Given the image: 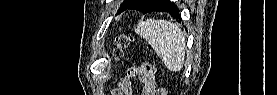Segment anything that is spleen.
Listing matches in <instances>:
<instances>
[{
	"mask_svg": "<svg viewBox=\"0 0 277 95\" xmlns=\"http://www.w3.org/2000/svg\"><path fill=\"white\" fill-rule=\"evenodd\" d=\"M136 33L144 38L173 72L183 68L186 40L181 29L170 21L147 19L138 23Z\"/></svg>",
	"mask_w": 277,
	"mask_h": 95,
	"instance_id": "obj_1",
	"label": "spleen"
}]
</instances>
